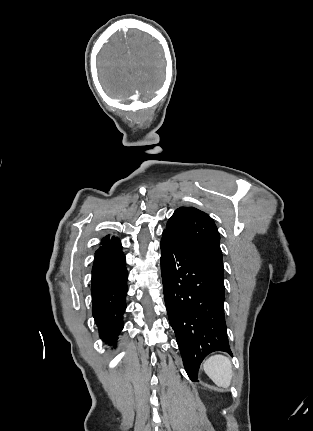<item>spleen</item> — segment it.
I'll return each instance as SVG.
<instances>
[{
    "label": "spleen",
    "instance_id": "3e777b00",
    "mask_svg": "<svg viewBox=\"0 0 313 431\" xmlns=\"http://www.w3.org/2000/svg\"><path fill=\"white\" fill-rule=\"evenodd\" d=\"M203 369L218 387L229 388L233 373L229 358L223 355L211 356L204 361Z\"/></svg>",
    "mask_w": 313,
    "mask_h": 431
}]
</instances>
